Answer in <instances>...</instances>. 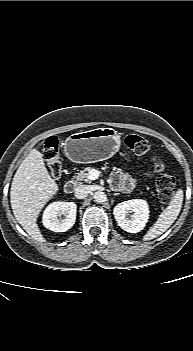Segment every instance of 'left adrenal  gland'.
<instances>
[{
  "mask_svg": "<svg viewBox=\"0 0 193 351\" xmlns=\"http://www.w3.org/2000/svg\"><path fill=\"white\" fill-rule=\"evenodd\" d=\"M113 195H114V196H118V195H119V193H114Z\"/></svg>",
  "mask_w": 193,
  "mask_h": 351,
  "instance_id": "a2214340",
  "label": "left adrenal gland"
}]
</instances>
